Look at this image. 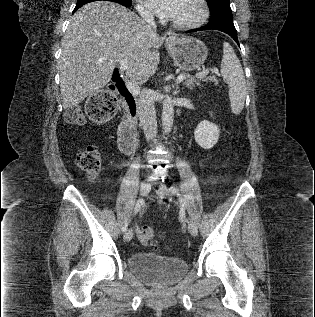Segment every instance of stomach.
I'll use <instances>...</instances> for the list:
<instances>
[{"label": "stomach", "instance_id": "1", "mask_svg": "<svg viewBox=\"0 0 315 317\" xmlns=\"http://www.w3.org/2000/svg\"><path fill=\"white\" fill-rule=\"evenodd\" d=\"M166 48L175 65L185 71L199 68L207 58L205 44L190 36H173L166 41Z\"/></svg>", "mask_w": 315, "mask_h": 317}]
</instances>
